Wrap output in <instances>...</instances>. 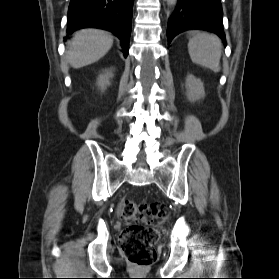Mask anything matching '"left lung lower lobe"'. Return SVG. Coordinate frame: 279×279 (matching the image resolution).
I'll return each instance as SVG.
<instances>
[{
  "mask_svg": "<svg viewBox=\"0 0 279 279\" xmlns=\"http://www.w3.org/2000/svg\"><path fill=\"white\" fill-rule=\"evenodd\" d=\"M223 11L220 0H178L168 21V43L188 29L207 30L217 34L225 43Z\"/></svg>",
  "mask_w": 279,
  "mask_h": 279,
  "instance_id": "obj_1",
  "label": "left lung lower lobe"
}]
</instances>
